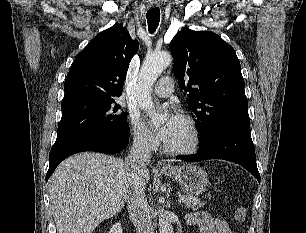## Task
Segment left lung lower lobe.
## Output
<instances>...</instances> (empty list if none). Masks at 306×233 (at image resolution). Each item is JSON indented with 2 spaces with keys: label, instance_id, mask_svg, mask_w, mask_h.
I'll return each instance as SVG.
<instances>
[{
  "label": "left lung lower lobe",
  "instance_id": "obj_1",
  "mask_svg": "<svg viewBox=\"0 0 306 233\" xmlns=\"http://www.w3.org/2000/svg\"><path fill=\"white\" fill-rule=\"evenodd\" d=\"M177 158L185 161L212 158L228 160L243 166L260 183V174L249 127H229L217 130L200 140V148L196 154Z\"/></svg>",
  "mask_w": 306,
  "mask_h": 233
}]
</instances>
